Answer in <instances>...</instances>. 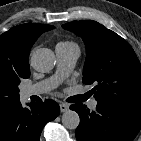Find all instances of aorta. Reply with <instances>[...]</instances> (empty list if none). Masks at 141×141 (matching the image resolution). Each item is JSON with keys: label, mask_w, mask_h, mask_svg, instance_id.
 I'll use <instances>...</instances> for the list:
<instances>
[{"label": "aorta", "mask_w": 141, "mask_h": 141, "mask_svg": "<svg viewBox=\"0 0 141 141\" xmlns=\"http://www.w3.org/2000/svg\"><path fill=\"white\" fill-rule=\"evenodd\" d=\"M30 62L36 71L49 72L55 65V56L50 49L40 48L33 52ZM79 122V115L75 111L67 110L62 115V124L67 129H76L79 125Z\"/></svg>", "instance_id": "1"}]
</instances>
